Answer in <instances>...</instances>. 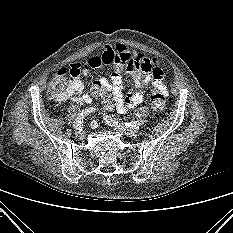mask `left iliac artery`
<instances>
[{
	"label": "left iliac artery",
	"instance_id": "44dca946",
	"mask_svg": "<svg viewBox=\"0 0 233 233\" xmlns=\"http://www.w3.org/2000/svg\"><path fill=\"white\" fill-rule=\"evenodd\" d=\"M104 119L109 125H112V126L118 125V121L112 119L108 115L105 116ZM140 125H141V122L139 121H131V122L125 123V126L133 128V129H139Z\"/></svg>",
	"mask_w": 233,
	"mask_h": 233
}]
</instances>
